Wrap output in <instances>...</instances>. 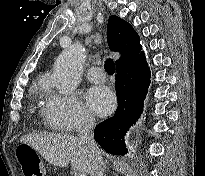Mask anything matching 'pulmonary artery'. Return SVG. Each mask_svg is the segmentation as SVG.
<instances>
[{
	"label": "pulmonary artery",
	"mask_w": 205,
	"mask_h": 176,
	"mask_svg": "<svg viewBox=\"0 0 205 176\" xmlns=\"http://www.w3.org/2000/svg\"><path fill=\"white\" fill-rule=\"evenodd\" d=\"M85 75L93 83H103L105 81V74L99 67H90L87 69Z\"/></svg>",
	"instance_id": "e3ab8cb5"
}]
</instances>
